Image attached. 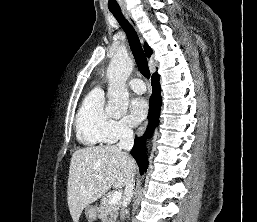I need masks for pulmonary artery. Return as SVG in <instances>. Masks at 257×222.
Masks as SVG:
<instances>
[{
	"mask_svg": "<svg viewBox=\"0 0 257 222\" xmlns=\"http://www.w3.org/2000/svg\"><path fill=\"white\" fill-rule=\"evenodd\" d=\"M129 86L134 92L139 94L144 93L146 91V86L144 82L140 79H131L129 81Z\"/></svg>",
	"mask_w": 257,
	"mask_h": 222,
	"instance_id": "e3ab8cb5",
	"label": "pulmonary artery"
}]
</instances>
